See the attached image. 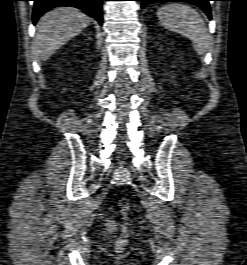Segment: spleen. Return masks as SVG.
I'll list each match as a JSON object with an SVG mask.
<instances>
[{
  "mask_svg": "<svg viewBox=\"0 0 247 265\" xmlns=\"http://www.w3.org/2000/svg\"><path fill=\"white\" fill-rule=\"evenodd\" d=\"M163 27L180 33L191 40L196 52L204 55L210 42V35L200 14L190 6L171 3L157 12Z\"/></svg>",
  "mask_w": 247,
  "mask_h": 265,
  "instance_id": "spleen-1",
  "label": "spleen"
}]
</instances>
